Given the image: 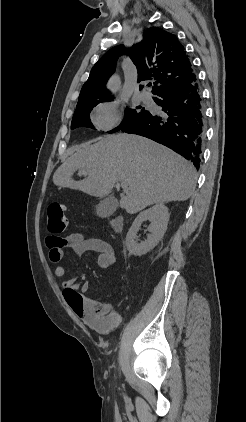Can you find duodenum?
Here are the masks:
<instances>
[{
  "mask_svg": "<svg viewBox=\"0 0 246 422\" xmlns=\"http://www.w3.org/2000/svg\"><path fill=\"white\" fill-rule=\"evenodd\" d=\"M113 226L115 228L116 231H119L122 228V219L121 218H116L113 221Z\"/></svg>",
  "mask_w": 246,
  "mask_h": 422,
  "instance_id": "duodenum-1",
  "label": "duodenum"
}]
</instances>
